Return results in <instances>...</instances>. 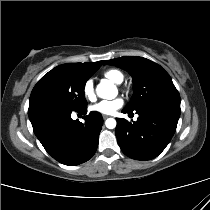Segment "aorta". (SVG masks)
I'll return each mask as SVG.
<instances>
[{
    "instance_id": "762f6f07",
    "label": "aorta",
    "mask_w": 210,
    "mask_h": 210,
    "mask_svg": "<svg viewBox=\"0 0 210 210\" xmlns=\"http://www.w3.org/2000/svg\"><path fill=\"white\" fill-rule=\"evenodd\" d=\"M97 95L103 99H113L117 95L116 87L110 81L101 82L96 88ZM116 120L114 118H108L105 121V125L108 129H114L116 127Z\"/></svg>"
}]
</instances>
